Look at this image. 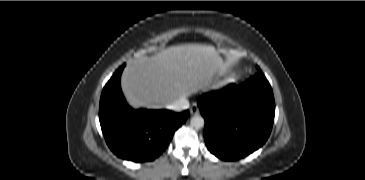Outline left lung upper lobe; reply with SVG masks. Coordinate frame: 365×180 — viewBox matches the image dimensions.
<instances>
[{
	"label": "left lung upper lobe",
	"mask_w": 365,
	"mask_h": 180,
	"mask_svg": "<svg viewBox=\"0 0 365 180\" xmlns=\"http://www.w3.org/2000/svg\"><path fill=\"white\" fill-rule=\"evenodd\" d=\"M257 69H258V73H262L261 70L259 69V67H257Z\"/></svg>",
	"instance_id": "left-lung-upper-lobe-1"
}]
</instances>
